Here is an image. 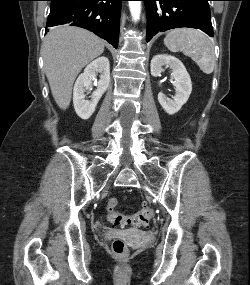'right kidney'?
<instances>
[{"label":"right kidney","instance_id":"right-kidney-1","mask_svg":"<svg viewBox=\"0 0 250 285\" xmlns=\"http://www.w3.org/2000/svg\"><path fill=\"white\" fill-rule=\"evenodd\" d=\"M97 73L100 79L97 89L93 92L90 100L85 99V91L88 90L92 81L96 80ZM110 83V64L107 57H99L85 68L84 72L77 78L73 89V104L77 115L87 120L94 113L98 101L107 90Z\"/></svg>","mask_w":250,"mask_h":285}]
</instances>
